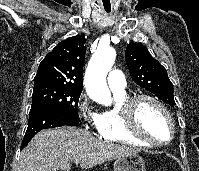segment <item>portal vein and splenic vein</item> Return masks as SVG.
I'll use <instances>...</instances> for the list:
<instances>
[{"label": "portal vein and splenic vein", "instance_id": "1", "mask_svg": "<svg viewBox=\"0 0 199 171\" xmlns=\"http://www.w3.org/2000/svg\"><path fill=\"white\" fill-rule=\"evenodd\" d=\"M79 162H80L79 159L74 160V163H75V164H78Z\"/></svg>", "mask_w": 199, "mask_h": 171}]
</instances>
